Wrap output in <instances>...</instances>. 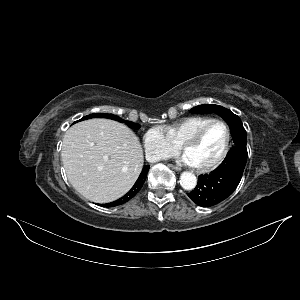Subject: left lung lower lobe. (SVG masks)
Listing matches in <instances>:
<instances>
[{"instance_id":"0a47b994","label":"left lung lower lobe","mask_w":300,"mask_h":300,"mask_svg":"<svg viewBox=\"0 0 300 300\" xmlns=\"http://www.w3.org/2000/svg\"><path fill=\"white\" fill-rule=\"evenodd\" d=\"M247 161V149L234 147L210 174L200 175L187 195L199 206L211 207L228 198L238 186Z\"/></svg>"}]
</instances>
